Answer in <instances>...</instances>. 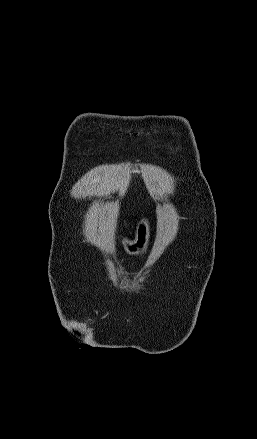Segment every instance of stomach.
<instances>
[{
  "mask_svg": "<svg viewBox=\"0 0 257 439\" xmlns=\"http://www.w3.org/2000/svg\"><path fill=\"white\" fill-rule=\"evenodd\" d=\"M149 235V224L146 219H142L137 226L135 240H123L122 244L124 250L129 255H138L143 253L144 251H146V248L148 246Z\"/></svg>",
  "mask_w": 257,
  "mask_h": 439,
  "instance_id": "1",
  "label": "stomach"
}]
</instances>
